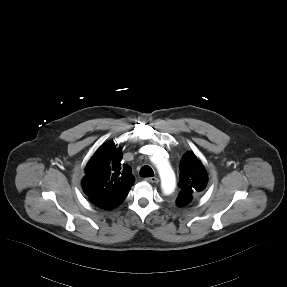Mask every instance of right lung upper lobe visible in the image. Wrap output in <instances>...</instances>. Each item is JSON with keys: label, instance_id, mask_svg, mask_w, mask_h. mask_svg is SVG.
Listing matches in <instances>:
<instances>
[{"label": "right lung upper lobe", "instance_id": "cb5924a9", "mask_svg": "<svg viewBox=\"0 0 287 287\" xmlns=\"http://www.w3.org/2000/svg\"><path fill=\"white\" fill-rule=\"evenodd\" d=\"M122 150L112 142L105 143L85 167L82 186L90 201L97 205L121 203L135 178L129 166L122 164Z\"/></svg>", "mask_w": 287, "mask_h": 287}]
</instances>
